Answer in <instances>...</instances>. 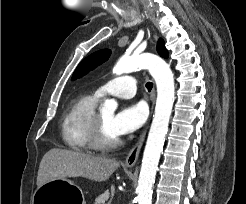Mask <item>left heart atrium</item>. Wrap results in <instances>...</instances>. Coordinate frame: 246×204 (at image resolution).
<instances>
[{
	"label": "left heart atrium",
	"instance_id": "39dd6f15",
	"mask_svg": "<svg viewBox=\"0 0 246 204\" xmlns=\"http://www.w3.org/2000/svg\"><path fill=\"white\" fill-rule=\"evenodd\" d=\"M147 110L144 104L134 103L124 106L112 119V129L117 136L126 135L139 129L146 121Z\"/></svg>",
	"mask_w": 246,
	"mask_h": 204
}]
</instances>
